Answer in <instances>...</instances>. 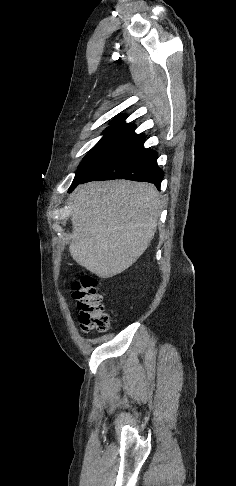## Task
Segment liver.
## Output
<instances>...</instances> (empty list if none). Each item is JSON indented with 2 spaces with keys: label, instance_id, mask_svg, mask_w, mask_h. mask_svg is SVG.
<instances>
[{
  "label": "liver",
  "instance_id": "liver-1",
  "mask_svg": "<svg viewBox=\"0 0 236 486\" xmlns=\"http://www.w3.org/2000/svg\"><path fill=\"white\" fill-rule=\"evenodd\" d=\"M161 207L152 184L114 180L78 186L72 194L73 259L100 278L122 273L151 243Z\"/></svg>",
  "mask_w": 236,
  "mask_h": 486
}]
</instances>
